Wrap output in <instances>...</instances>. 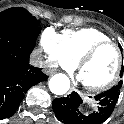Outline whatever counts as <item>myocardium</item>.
Masks as SVG:
<instances>
[{
  "label": "myocardium",
  "mask_w": 124,
  "mask_h": 124,
  "mask_svg": "<svg viewBox=\"0 0 124 124\" xmlns=\"http://www.w3.org/2000/svg\"><path fill=\"white\" fill-rule=\"evenodd\" d=\"M106 47H114L117 51V67H116L115 73L108 82L102 85L93 86V85H88L83 83L84 87L90 92H94V93L105 92L111 89L112 87H114L121 79L123 69H124V52L121 49V47L113 41L100 42L95 44L92 48H90L77 62L78 72L80 74L82 68L91 59H93L100 50Z\"/></svg>",
  "instance_id": "1"
}]
</instances>
